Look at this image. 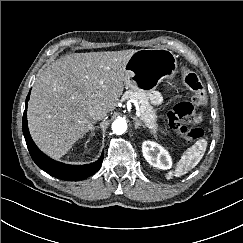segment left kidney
Wrapping results in <instances>:
<instances>
[{"label": "left kidney", "mask_w": 243, "mask_h": 243, "mask_svg": "<svg viewBox=\"0 0 243 243\" xmlns=\"http://www.w3.org/2000/svg\"><path fill=\"white\" fill-rule=\"evenodd\" d=\"M142 153L147 162L153 167L162 170H167L172 167V159L168 151L156 142H143Z\"/></svg>", "instance_id": "5707ae66"}]
</instances>
